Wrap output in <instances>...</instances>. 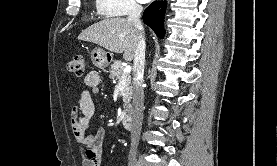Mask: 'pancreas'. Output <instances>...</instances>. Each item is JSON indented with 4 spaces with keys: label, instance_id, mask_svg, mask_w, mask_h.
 I'll use <instances>...</instances> for the list:
<instances>
[{
    "label": "pancreas",
    "instance_id": "1",
    "mask_svg": "<svg viewBox=\"0 0 277 166\" xmlns=\"http://www.w3.org/2000/svg\"><path fill=\"white\" fill-rule=\"evenodd\" d=\"M122 77H125V92L123 94V115L126 116L131 111V76L129 73L124 72V67L120 61H115L110 67L109 78L114 81H120Z\"/></svg>",
    "mask_w": 277,
    "mask_h": 166
}]
</instances>
